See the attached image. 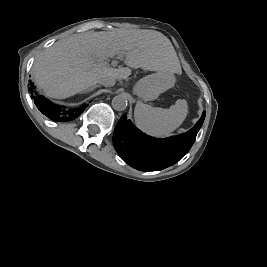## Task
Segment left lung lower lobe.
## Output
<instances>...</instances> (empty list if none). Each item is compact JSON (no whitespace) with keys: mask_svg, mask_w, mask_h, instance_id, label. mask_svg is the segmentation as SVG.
Instances as JSON below:
<instances>
[{"mask_svg":"<svg viewBox=\"0 0 267 267\" xmlns=\"http://www.w3.org/2000/svg\"><path fill=\"white\" fill-rule=\"evenodd\" d=\"M205 113L187 133L165 139H155L135 128L126 115H122L115 126L113 144L122 159L138 170H162L179 161L196 139Z\"/></svg>","mask_w":267,"mask_h":267,"instance_id":"1","label":"left lung lower lobe"}]
</instances>
